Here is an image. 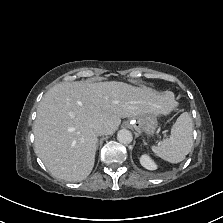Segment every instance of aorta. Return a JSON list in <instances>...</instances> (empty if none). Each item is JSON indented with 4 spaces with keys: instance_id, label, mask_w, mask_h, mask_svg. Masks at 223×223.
Segmentation results:
<instances>
[{
    "instance_id": "1",
    "label": "aorta",
    "mask_w": 223,
    "mask_h": 223,
    "mask_svg": "<svg viewBox=\"0 0 223 223\" xmlns=\"http://www.w3.org/2000/svg\"><path fill=\"white\" fill-rule=\"evenodd\" d=\"M117 140L122 144H130L133 140L132 133L129 130L121 129L117 133Z\"/></svg>"
}]
</instances>
